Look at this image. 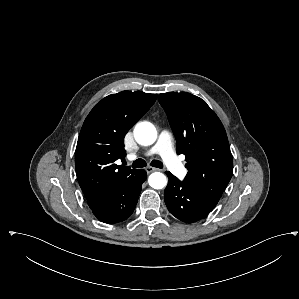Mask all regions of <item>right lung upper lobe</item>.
Instances as JSON below:
<instances>
[{"label": "right lung upper lobe", "instance_id": "obj_1", "mask_svg": "<svg viewBox=\"0 0 299 299\" xmlns=\"http://www.w3.org/2000/svg\"><path fill=\"white\" fill-rule=\"evenodd\" d=\"M157 94L122 91L102 99L89 113L79 134L75 167L90 208L136 169L117 165L124 136L149 110Z\"/></svg>", "mask_w": 299, "mask_h": 299}]
</instances>
